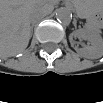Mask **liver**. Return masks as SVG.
I'll return each mask as SVG.
<instances>
[{
	"label": "liver",
	"mask_w": 103,
	"mask_h": 103,
	"mask_svg": "<svg viewBox=\"0 0 103 103\" xmlns=\"http://www.w3.org/2000/svg\"><path fill=\"white\" fill-rule=\"evenodd\" d=\"M51 2L41 0L1 1V56L11 57L24 51L31 38L30 16L49 13Z\"/></svg>",
	"instance_id": "obj_1"
}]
</instances>
